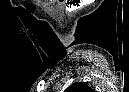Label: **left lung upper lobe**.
<instances>
[{
    "instance_id": "left-lung-upper-lobe-1",
    "label": "left lung upper lobe",
    "mask_w": 129,
    "mask_h": 92,
    "mask_svg": "<svg viewBox=\"0 0 129 92\" xmlns=\"http://www.w3.org/2000/svg\"><path fill=\"white\" fill-rule=\"evenodd\" d=\"M65 92H94L85 82H76L68 87Z\"/></svg>"
}]
</instances>
